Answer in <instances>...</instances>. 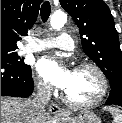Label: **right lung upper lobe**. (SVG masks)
<instances>
[{"instance_id":"obj_1","label":"right lung upper lobe","mask_w":122,"mask_h":123,"mask_svg":"<svg viewBox=\"0 0 122 123\" xmlns=\"http://www.w3.org/2000/svg\"><path fill=\"white\" fill-rule=\"evenodd\" d=\"M42 0H1V49H17L37 20Z\"/></svg>"}]
</instances>
